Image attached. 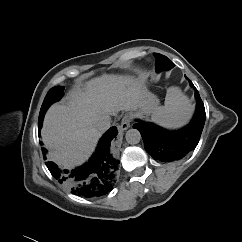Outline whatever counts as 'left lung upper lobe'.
<instances>
[{
	"instance_id": "obj_1",
	"label": "left lung upper lobe",
	"mask_w": 242,
	"mask_h": 242,
	"mask_svg": "<svg viewBox=\"0 0 242 242\" xmlns=\"http://www.w3.org/2000/svg\"><path fill=\"white\" fill-rule=\"evenodd\" d=\"M154 56L156 58L155 67L157 72H160L163 69H170L174 66V63L166 56L158 53H154Z\"/></svg>"
}]
</instances>
